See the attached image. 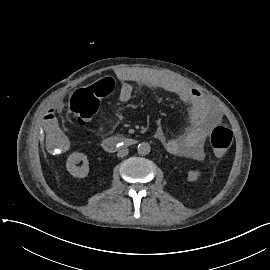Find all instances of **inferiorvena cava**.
I'll list each match as a JSON object with an SVG mask.
<instances>
[{
	"instance_id": "obj_1",
	"label": "inferior vena cava",
	"mask_w": 270,
	"mask_h": 270,
	"mask_svg": "<svg viewBox=\"0 0 270 270\" xmlns=\"http://www.w3.org/2000/svg\"><path fill=\"white\" fill-rule=\"evenodd\" d=\"M129 150L128 149H121L118 151L117 156L118 157H123L126 156L128 154Z\"/></svg>"
}]
</instances>
